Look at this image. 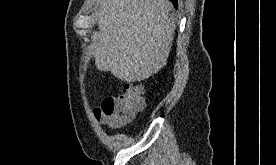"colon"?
I'll use <instances>...</instances> for the list:
<instances>
[{"instance_id":"colon-1","label":"colon","mask_w":276,"mask_h":165,"mask_svg":"<svg viewBox=\"0 0 276 165\" xmlns=\"http://www.w3.org/2000/svg\"><path fill=\"white\" fill-rule=\"evenodd\" d=\"M144 104L142 87L127 84L116 97H107L101 105V114L110 120V125H121L131 121Z\"/></svg>"}]
</instances>
